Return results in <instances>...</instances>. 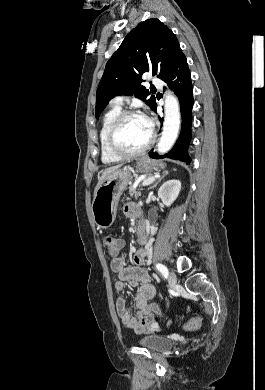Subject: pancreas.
Listing matches in <instances>:
<instances>
[{"mask_svg":"<svg viewBox=\"0 0 265 390\" xmlns=\"http://www.w3.org/2000/svg\"><path fill=\"white\" fill-rule=\"evenodd\" d=\"M129 194L131 196H135V197H139L141 195V192L140 191H137L134 187H130L129 188Z\"/></svg>","mask_w":265,"mask_h":390,"instance_id":"pancreas-1","label":"pancreas"}]
</instances>
